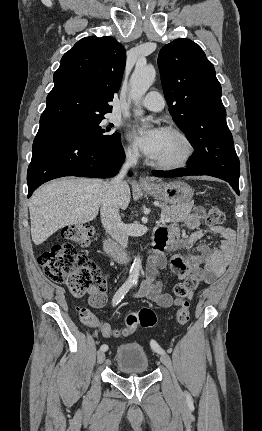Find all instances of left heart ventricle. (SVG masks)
Segmentation results:
<instances>
[{"label":"left heart ventricle","mask_w":262,"mask_h":431,"mask_svg":"<svg viewBox=\"0 0 262 431\" xmlns=\"http://www.w3.org/2000/svg\"><path fill=\"white\" fill-rule=\"evenodd\" d=\"M181 142L173 135L165 132L164 140L155 161H173L182 153Z\"/></svg>","instance_id":"obj_1"}]
</instances>
